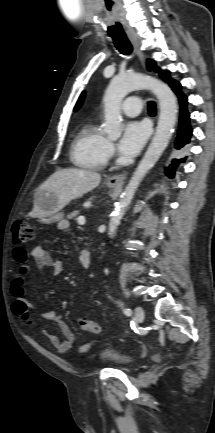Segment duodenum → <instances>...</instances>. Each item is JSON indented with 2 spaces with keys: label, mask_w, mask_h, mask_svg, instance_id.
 I'll use <instances>...</instances> for the list:
<instances>
[{
  "label": "duodenum",
  "mask_w": 215,
  "mask_h": 433,
  "mask_svg": "<svg viewBox=\"0 0 215 433\" xmlns=\"http://www.w3.org/2000/svg\"><path fill=\"white\" fill-rule=\"evenodd\" d=\"M79 261L81 265L86 268H91V254L88 251H82L79 255Z\"/></svg>",
  "instance_id": "duodenum-1"
}]
</instances>
